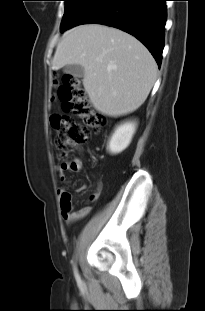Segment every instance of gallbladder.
<instances>
[{
    "mask_svg": "<svg viewBox=\"0 0 205 311\" xmlns=\"http://www.w3.org/2000/svg\"><path fill=\"white\" fill-rule=\"evenodd\" d=\"M64 73L75 78L84 77V68L79 64L66 65L63 69Z\"/></svg>",
    "mask_w": 205,
    "mask_h": 311,
    "instance_id": "1",
    "label": "gallbladder"
}]
</instances>
